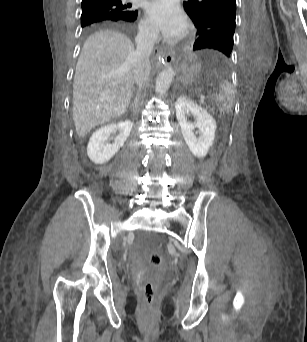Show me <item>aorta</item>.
<instances>
[{
    "label": "aorta",
    "instance_id": "1",
    "mask_svg": "<svg viewBox=\"0 0 307 342\" xmlns=\"http://www.w3.org/2000/svg\"><path fill=\"white\" fill-rule=\"evenodd\" d=\"M174 76L175 72L173 68H166V70L160 72L155 82V92L157 96H164V94H166L174 80Z\"/></svg>",
    "mask_w": 307,
    "mask_h": 342
}]
</instances>
